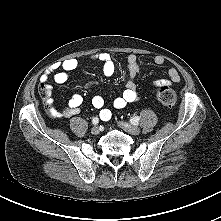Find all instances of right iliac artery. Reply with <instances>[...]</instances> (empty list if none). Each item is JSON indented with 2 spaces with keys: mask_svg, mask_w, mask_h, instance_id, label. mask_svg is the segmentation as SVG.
I'll use <instances>...</instances> for the list:
<instances>
[{
  "mask_svg": "<svg viewBox=\"0 0 221 221\" xmlns=\"http://www.w3.org/2000/svg\"><path fill=\"white\" fill-rule=\"evenodd\" d=\"M99 123V119L97 117H94L92 120L93 125H97Z\"/></svg>",
  "mask_w": 221,
  "mask_h": 221,
  "instance_id": "right-iliac-artery-1",
  "label": "right iliac artery"
}]
</instances>
